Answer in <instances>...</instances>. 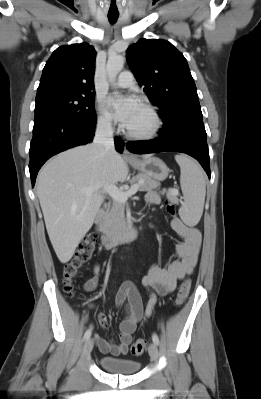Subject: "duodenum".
Returning a JSON list of instances; mask_svg holds the SVG:
<instances>
[{"mask_svg": "<svg viewBox=\"0 0 261 399\" xmlns=\"http://www.w3.org/2000/svg\"><path fill=\"white\" fill-rule=\"evenodd\" d=\"M105 216L102 209L96 213V230L100 234V243L104 248H111L120 242L132 241L137 237L138 226L135 221L127 224L119 232H108L104 228Z\"/></svg>", "mask_w": 261, "mask_h": 399, "instance_id": "410a0bca", "label": "duodenum"}]
</instances>
